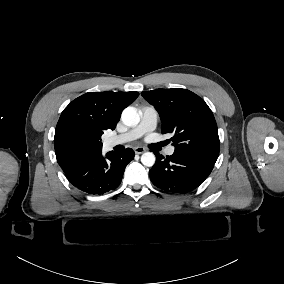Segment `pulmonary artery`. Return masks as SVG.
I'll return each instance as SVG.
<instances>
[{
	"label": "pulmonary artery",
	"mask_w": 284,
	"mask_h": 284,
	"mask_svg": "<svg viewBox=\"0 0 284 284\" xmlns=\"http://www.w3.org/2000/svg\"><path fill=\"white\" fill-rule=\"evenodd\" d=\"M157 120L158 113L156 109L152 106H143L141 108V120L135 127L126 133L108 137L104 140V144L106 146L113 147L138 139L144 134L153 131L157 125ZM172 152L173 149L169 150V154Z\"/></svg>",
	"instance_id": "1"
}]
</instances>
